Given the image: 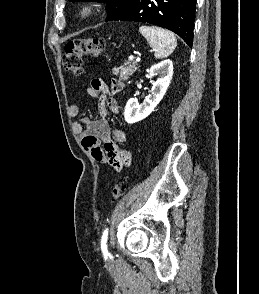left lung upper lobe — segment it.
<instances>
[{"label": "left lung upper lobe", "mask_w": 259, "mask_h": 294, "mask_svg": "<svg viewBox=\"0 0 259 294\" xmlns=\"http://www.w3.org/2000/svg\"><path fill=\"white\" fill-rule=\"evenodd\" d=\"M71 2L76 1H97V2H104L107 3L106 10L108 12V17L111 18L113 15L117 14L118 12L122 11L123 9L130 6L136 0H69Z\"/></svg>", "instance_id": "left-lung-upper-lobe-1"}]
</instances>
